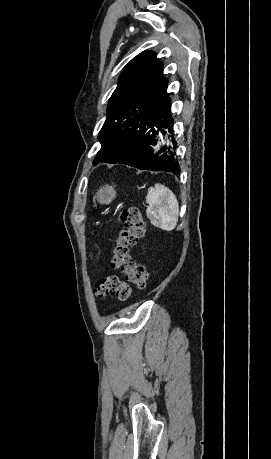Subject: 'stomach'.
<instances>
[{"mask_svg":"<svg viewBox=\"0 0 271 459\" xmlns=\"http://www.w3.org/2000/svg\"><path fill=\"white\" fill-rule=\"evenodd\" d=\"M116 198V192L113 186H105V188H100L94 196V202H99V204H111L112 200Z\"/></svg>","mask_w":271,"mask_h":459,"instance_id":"0dacf381","label":"stomach"}]
</instances>
